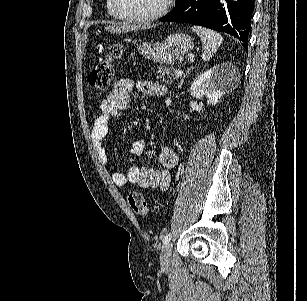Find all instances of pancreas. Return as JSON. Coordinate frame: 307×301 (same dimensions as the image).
Wrapping results in <instances>:
<instances>
[{"label": "pancreas", "instance_id": "1", "mask_svg": "<svg viewBox=\"0 0 307 301\" xmlns=\"http://www.w3.org/2000/svg\"><path fill=\"white\" fill-rule=\"evenodd\" d=\"M163 76L164 80H178L179 76H177V70L175 68H163ZM162 78V76H161Z\"/></svg>", "mask_w": 307, "mask_h": 301}]
</instances>
